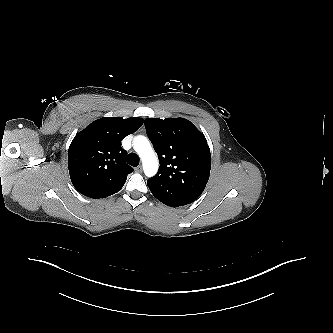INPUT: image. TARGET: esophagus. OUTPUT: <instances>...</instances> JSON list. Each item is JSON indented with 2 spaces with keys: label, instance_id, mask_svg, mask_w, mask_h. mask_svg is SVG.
Instances as JSON below:
<instances>
[{
  "label": "esophagus",
  "instance_id": "esophagus-1",
  "mask_svg": "<svg viewBox=\"0 0 333 333\" xmlns=\"http://www.w3.org/2000/svg\"><path fill=\"white\" fill-rule=\"evenodd\" d=\"M135 171H136V172H142V166H138V167H136V168H135Z\"/></svg>",
  "mask_w": 333,
  "mask_h": 333
}]
</instances>
